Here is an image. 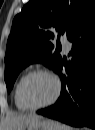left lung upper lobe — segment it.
<instances>
[{
	"instance_id": "obj_1",
	"label": "left lung upper lobe",
	"mask_w": 95,
	"mask_h": 130,
	"mask_svg": "<svg viewBox=\"0 0 95 130\" xmlns=\"http://www.w3.org/2000/svg\"><path fill=\"white\" fill-rule=\"evenodd\" d=\"M95 12V0H31L12 24L7 42L4 79L8 91L20 71L34 62L56 70L61 61L59 36L57 48L50 42L54 33L69 39L80 24Z\"/></svg>"
}]
</instances>
